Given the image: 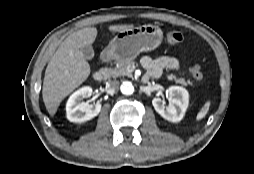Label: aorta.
<instances>
[{
  "mask_svg": "<svg viewBox=\"0 0 254 174\" xmlns=\"http://www.w3.org/2000/svg\"><path fill=\"white\" fill-rule=\"evenodd\" d=\"M120 90L124 95H132L134 93V86L131 82H123Z\"/></svg>",
  "mask_w": 254,
  "mask_h": 174,
  "instance_id": "aorta-1",
  "label": "aorta"
}]
</instances>
